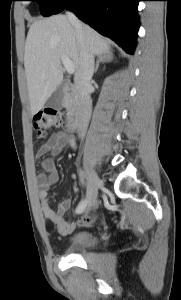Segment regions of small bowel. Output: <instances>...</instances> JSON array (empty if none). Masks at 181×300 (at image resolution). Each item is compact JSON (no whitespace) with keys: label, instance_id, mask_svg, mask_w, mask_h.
Masks as SVG:
<instances>
[{"label":"small bowel","instance_id":"obj_1","mask_svg":"<svg viewBox=\"0 0 181 300\" xmlns=\"http://www.w3.org/2000/svg\"><path fill=\"white\" fill-rule=\"evenodd\" d=\"M65 146H69L72 150L77 149L76 141L72 136L62 131L55 132L50 136L48 142L39 148L37 156L41 158L47 153L56 156ZM41 168L42 172L36 176V183L40 188L38 197L41 202V210L44 218L54 225L60 235L70 234L77 226L84 227L90 225L94 221V216L91 214L82 216L76 222H67L64 220V214L71 206L70 199H63L56 208L51 206L49 189L58 183L59 172L52 158H43Z\"/></svg>","mask_w":181,"mask_h":300}]
</instances>
